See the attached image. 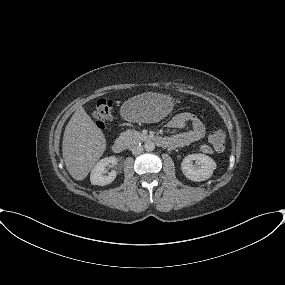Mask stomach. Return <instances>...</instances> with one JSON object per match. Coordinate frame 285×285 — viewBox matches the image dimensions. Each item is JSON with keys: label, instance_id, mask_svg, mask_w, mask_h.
<instances>
[{"label": "stomach", "instance_id": "0dacf381", "mask_svg": "<svg viewBox=\"0 0 285 285\" xmlns=\"http://www.w3.org/2000/svg\"><path fill=\"white\" fill-rule=\"evenodd\" d=\"M174 107L170 95L146 92L128 99L121 106V115L129 121L153 123L165 118Z\"/></svg>", "mask_w": 285, "mask_h": 285}]
</instances>
